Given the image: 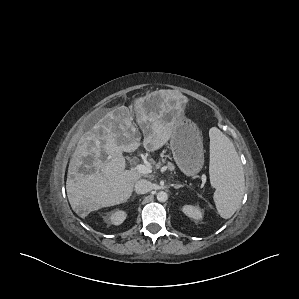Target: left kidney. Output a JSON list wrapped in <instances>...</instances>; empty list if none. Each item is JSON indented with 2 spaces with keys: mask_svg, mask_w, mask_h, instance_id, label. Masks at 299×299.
I'll return each mask as SVG.
<instances>
[{
  "mask_svg": "<svg viewBox=\"0 0 299 299\" xmlns=\"http://www.w3.org/2000/svg\"><path fill=\"white\" fill-rule=\"evenodd\" d=\"M182 211L188 217H191V218L196 219V220H200L203 217V213H202L201 209L198 206L185 205L182 208Z\"/></svg>",
  "mask_w": 299,
  "mask_h": 299,
  "instance_id": "obj_1",
  "label": "left kidney"
}]
</instances>
